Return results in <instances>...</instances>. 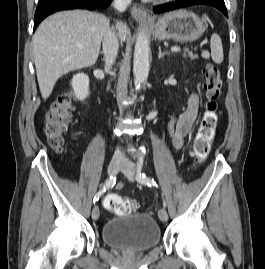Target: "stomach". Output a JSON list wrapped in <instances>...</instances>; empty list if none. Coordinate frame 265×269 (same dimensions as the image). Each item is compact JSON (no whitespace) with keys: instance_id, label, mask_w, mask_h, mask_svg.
<instances>
[{"instance_id":"obj_1","label":"stomach","mask_w":265,"mask_h":269,"mask_svg":"<svg viewBox=\"0 0 265 269\" xmlns=\"http://www.w3.org/2000/svg\"><path fill=\"white\" fill-rule=\"evenodd\" d=\"M207 26L195 13L181 9L159 17L152 25L153 34L160 40L173 39L191 42L199 39Z\"/></svg>"}]
</instances>
